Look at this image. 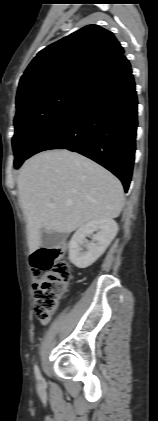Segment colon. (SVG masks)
<instances>
[{"label":"colon","mask_w":158,"mask_h":421,"mask_svg":"<svg viewBox=\"0 0 158 421\" xmlns=\"http://www.w3.org/2000/svg\"><path fill=\"white\" fill-rule=\"evenodd\" d=\"M66 251V246L61 244L40 248L30 257L34 277V313L40 320L48 319L57 311L71 280V268L61 260Z\"/></svg>","instance_id":"obj_1"}]
</instances>
